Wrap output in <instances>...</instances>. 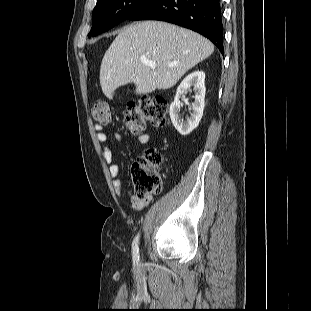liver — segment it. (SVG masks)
Here are the masks:
<instances>
[{
  "mask_svg": "<svg viewBox=\"0 0 311 311\" xmlns=\"http://www.w3.org/2000/svg\"><path fill=\"white\" fill-rule=\"evenodd\" d=\"M214 45L191 30L161 21H143L126 26L106 51L100 67L104 95L113 99L114 91L134 83L136 94L169 89L200 61L209 57ZM156 63L152 69L142 63ZM173 64V67L169 65Z\"/></svg>",
  "mask_w": 311,
  "mask_h": 311,
  "instance_id": "6515ba94",
  "label": "liver"
}]
</instances>
